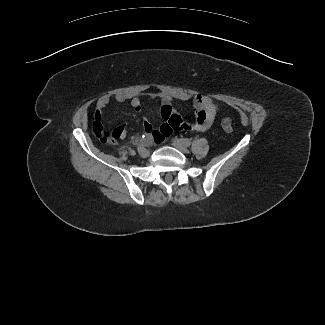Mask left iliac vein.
Returning a JSON list of instances; mask_svg holds the SVG:
<instances>
[{"mask_svg":"<svg viewBox=\"0 0 325 325\" xmlns=\"http://www.w3.org/2000/svg\"><path fill=\"white\" fill-rule=\"evenodd\" d=\"M172 145H173L175 148H177V149H179L180 151H182V152H188L187 147H186L185 145H183L182 143H180L179 141H177V140H174V141L172 142Z\"/></svg>","mask_w":325,"mask_h":325,"instance_id":"4c4485c4","label":"left iliac vein"}]
</instances>
